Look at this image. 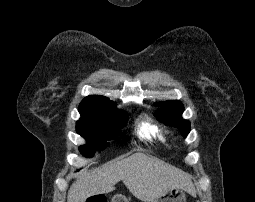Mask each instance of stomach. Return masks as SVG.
I'll list each match as a JSON object with an SVG mask.
<instances>
[{"mask_svg": "<svg viewBox=\"0 0 255 202\" xmlns=\"http://www.w3.org/2000/svg\"><path fill=\"white\" fill-rule=\"evenodd\" d=\"M185 190L179 187H172L164 191L153 202H187ZM111 202H129L123 195H115Z\"/></svg>", "mask_w": 255, "mask_h": 202, "instance_id": "stomach-1", "label": "stomach"}]
</instances>
